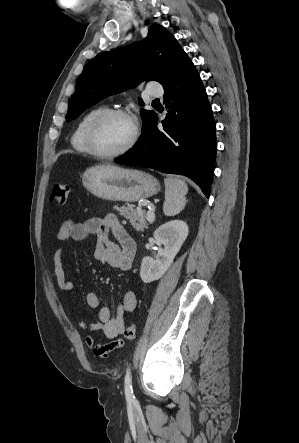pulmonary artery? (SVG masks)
Returning <instances> with one entry per match:
<instances>
[{"label":"pulmonary artery","instance_id":"1","mask_svg":"<svg viewBox=\"0 0 299 443\" xmlns=\"http://www.w3.org/2000/svg\"><path fill=\"white\" fill-rule=\"evenodd\" d=\"M147 93L152 97H160L163 95V88L156 83H150L147 86Z\"/></svg>","mask_w":299,"mask_h":443}]
</instances>
